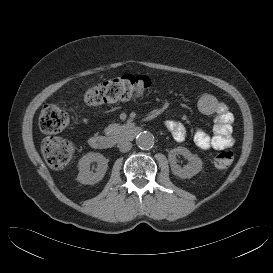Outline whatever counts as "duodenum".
Here are the masks:
<instances>
[{"label": "duodenum", "instance_id": "1", "mask_svg": "<svg viewBox=\"0 0 273 273\" xmlns=\"http://www.w3.org/2000/svg\"><path fill=\"white\" fill-rule=\"evenodd\" d=\"M141 128L133 124H123L121 126V137H136ZM118 139L113 135H93L89 138V145L93 149L105 150L112 148Z\"/></svg>", "mask_w": 273, "mask_h": 273}]
</instances>
